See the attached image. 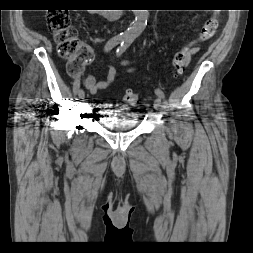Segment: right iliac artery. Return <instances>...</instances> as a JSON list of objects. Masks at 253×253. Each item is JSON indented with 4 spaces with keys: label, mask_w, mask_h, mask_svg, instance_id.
I'll list each match as a JSON object with an SVG mask.
<instances>
[{
    "label": "right iliac artery",
    "mask_w": 253,
    "mask_h": 253,
    "mask_svg": "<svg viewBox=\"0 0 253 253\" xmlns=\"http://www.w3.org/2000/svg\"><path fill=\"white\" fill-rule=\"evenodd\" d=\"M124 39L122 36H115L113 38H111L105 45L104 47V51L105 52H108L110 51L113 47H115L116 45H118L120 42H123ZM79 88H80V81H79V77H76V81L74 82V85H73V92L75 94L78 93L79 91Z\"/></svg>",
    "instance_id": "right-iliac-artery-1"
}]
</instances>
